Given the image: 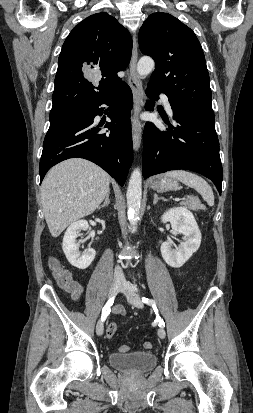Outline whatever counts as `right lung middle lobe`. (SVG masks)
Masks as SVG:
<instances>
[{"mask_svg": "<svg viewBox=\"0 0 253 413\" xmlns=\"http://www.w3.org/2000/svg\"><path fill=\"white\" fill-rule=\"evenodd\" d=\"M79 112L68 114V115H63V116H56V117H50V125L67 120L75 115H77Z\"/></svg>", "mask_w": 253, "mask_h": 413, "instance_id": "dd1d6c3e", "label": "right lung middle lobe"}]
</instances>
